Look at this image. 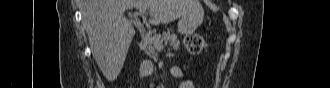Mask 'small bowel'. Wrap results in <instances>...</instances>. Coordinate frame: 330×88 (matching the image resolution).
I'll list each match as a JSON object with an SVG mask.
<instances>
[{
    "instance_id": "c3829d8e",
    "label": "small bowel",
    "mask_w": 330,
    "mask_h": 88,
    "mask_svg": "<svg viewBox=\"0 0 330 88\" xmlns=\"http://www.w3.org/2000/svg\"><path fill=\"white\" fill-rule=\"evenodd\" d=\"M172 77L180 79L179 88H194L193 82L185 78L184 71L179 66H172L169 70Z\"/></svg>"
}]
</instances>
